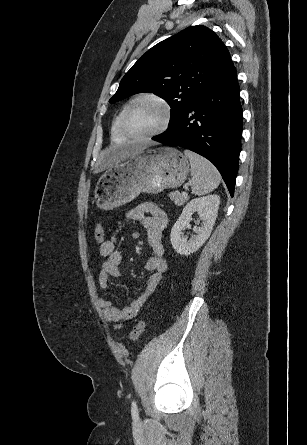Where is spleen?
<instances>
[{"mask_svg":"<svg viewBox=\"0 0 307 445\" xmlns=\"http://www.w3.org/2000/svg\"><path fill=\"white\" fill-rule=\"evenodd\" d=\"M187 158H189L192 176V192L193 194H207L220 184L221 174L216 166L209 162L204 156L192 152V150H184Z\"/></svg>","mask_w":307,"mask_h":445,"instance_id":"3e777b00","label":"spleen"}]
</instances>
